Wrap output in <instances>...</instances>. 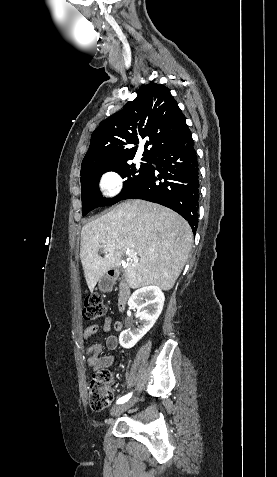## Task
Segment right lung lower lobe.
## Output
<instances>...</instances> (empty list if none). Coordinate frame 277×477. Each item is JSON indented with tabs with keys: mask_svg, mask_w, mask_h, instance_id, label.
Segmentation results:
<instances>
[{
	"mask_svg": "<svg viewBox=\"0 0 277 477\" xmlns=\"http://www.w3.org/2000/svg\"><path fill=\"white\" fill-rule=\"evenodd\" d=\"M150 170L142 182L124 199H143L159 203L179 213L193 233L198 225L199 172L191 132L155 153Z\"/></svg>",
	"mask_w": 277,
	"mask_h": 477,
	"instance_id": "1",
	"label": "right lung lower lobe"
}]
</instances>
